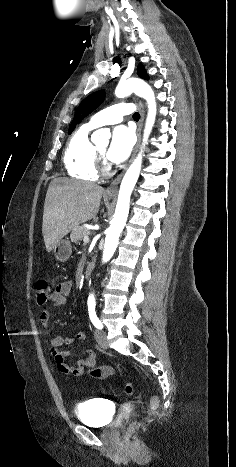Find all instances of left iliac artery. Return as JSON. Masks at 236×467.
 Instances as JSON below:
<instances>
[{
  "label": "left iliac artery",
  "mask_w": 236,
  "mask_h": 467,
  "mask_svg": "<svg viewBox=\"0 0 236 467\" xmlns=\"http://www.w3.org/2000/svg\"><path fill=\"white\" fill-rule=\"evenodd\" d=\"M95 306H96L95 302H92V301L88 302L89 317H90V320L93 323V325L97 329L101 330L103 328V325H102L101 321L99 320V318L96 315Z\"/></svg>",
  "instance_id": "left-iliac-artery-1"
}]
</instances>
